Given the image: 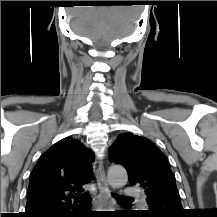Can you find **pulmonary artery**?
Here are the masks:
<instances>
[{
  "label": "pulmonary artery",
  "instance_id": "1",
  "mask_svg": "<svg viewBox=\"0 0 217 217\" xmlns=\"http://www.w3.org/2000/svg\"><path fill=\"white\" fill-rule=\"evenodd\" d=\"M123 195L125 197H142V194L141 192L136 189V188H133V187H124L123 189Z\"/></svg>",
  "mask_w": 217,
  "mask_h": 217
}]
</instances>
